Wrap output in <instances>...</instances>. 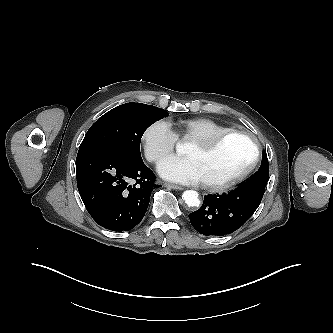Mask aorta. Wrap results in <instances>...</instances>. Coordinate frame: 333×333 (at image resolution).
Masks as SVG:
<instances>
[{"instance_id":"obj_1","label":"aorta","mask_w":333,"mask_h":333,"mask_svg":"<svg viewBox=\"0 0 333 333\" xmlns=\"http://www.w3.org/2000/svg\"><path fill=\"white\" fill-rule=\"evenodd\" d=\"M177 151H181V145H177ZM182 199L189 207H198L200 205L199 194L194 190H186L182 194Z\"/></svg>"}]
</instances>
